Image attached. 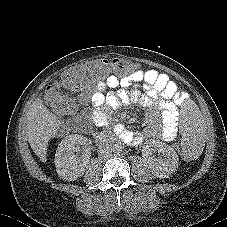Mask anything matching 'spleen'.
<instances>
[{"label": "spleen", "instance_id": "3e777b00", "mask_svg": "<svg viewBox=\"0 0 227 227\" xmlns=\"http://www.w3.org/2000/svg\"><path fill=\"white\" fill-rule=\"evenodd\" d=\"M181 118L180 137L185 152L192 156H199L206 149V142L202 137V115L197 102L186 100L179 107Z\"/></svg>", "mask_w": 227, "mask_h": 227}]
</instances>
